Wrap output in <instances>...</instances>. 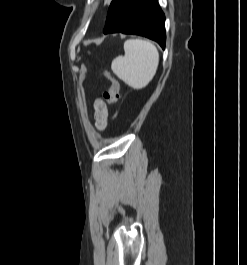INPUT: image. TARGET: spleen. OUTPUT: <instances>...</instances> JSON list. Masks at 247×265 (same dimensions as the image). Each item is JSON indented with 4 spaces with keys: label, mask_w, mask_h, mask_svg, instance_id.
<instances>
[{
    "label": "spleen",
    "mask_w": 247,
    "mask_h": 265,
    "mask_svg": "<svg viewBox=\"0 0 247 265\" xmlns=\"http://www.w3.org/2000/svg\"><path fill=\"white\" fill-rule=\"evenodd\" d=\"M124 52V56L112 61V71L133 89H143L156 74L159 63L157 48L147 40L128 39L124 43Z\"/></svg>",
    "instance_id": "obj_1"
}]
</instances>
